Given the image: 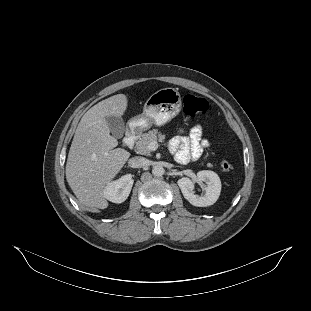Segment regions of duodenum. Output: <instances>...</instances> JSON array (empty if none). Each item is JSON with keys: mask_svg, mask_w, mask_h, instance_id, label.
<instances>
[{"mask_svg": "<svg viewBox=\"0 0 311 311\" xmlns=\"http://www.w3.org/2000/svg\"><path fill=\"white\" fill-rule=\"evenodd\" d=\"M139 135V131L136 128H129L124 136L123 144L127 148H132Z\"/></svg>", "mask_w": 311, "mask_h": 311, "instance_id": "410a0bca", "label": "duodenum"}]
</instances>
